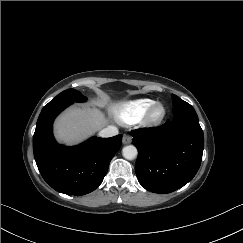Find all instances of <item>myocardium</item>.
<instances>
[{"instance_id":"obj_1","label":"myocardium","mask_w":243,"mask_h":243,"mask_svg":"<svg viewBox=\"0 0 243 243\" xmlns=\"http://www.w3.org/2000/svg\"><path fill=\"white\" fill-rule=\"evenodd\" d=\"M161 109L159 115H155L157 109ZM167 115L166 106L161 102H155L143 117V122L148 126H157L163 122Z\"/></svg>"}]
</instances>
